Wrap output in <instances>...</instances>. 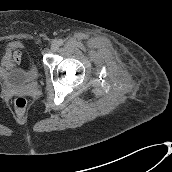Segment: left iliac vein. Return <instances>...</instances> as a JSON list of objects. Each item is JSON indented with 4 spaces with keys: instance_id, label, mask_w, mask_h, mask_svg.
Instances as JSON below:
<instances>
[{
    "instance_id": "obj_1",
    "label": "left iliac vein",
    "mask_w": 172,
    "mask_h": 172,
    "mask_svg": "<svg viewBox=\"0 0 172 172\" xmlns=\"http://www.w3.org/2000/svg\"><path fill=\"white\" fill-rule=\"evenodd\" d=\"M59 46H60V43L58 41H54L52 43V49L53 50H57L59 48Z\"/></svg>"
}]
</instances>
